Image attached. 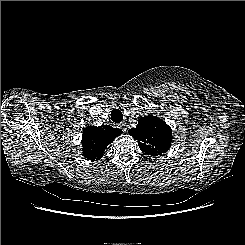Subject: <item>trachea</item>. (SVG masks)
I'll return each instance as SVG.
<instances>
[{
    "instance_id": "3493384b",
    "label": "trachea",
    "mask_w": 245,
    "mask_h": 245,
    "mask_svg": "<svg viewBox=\"0 0 245 245\" xmlns=\"http://www.w3.org/2000/svg\"><path fill=\"white\" fill-rule=\"evenodd\" d=\"M111 120L120 123L123 120V114L119 109H113L111 112Z\"/></svg>"
}]
</instances>
